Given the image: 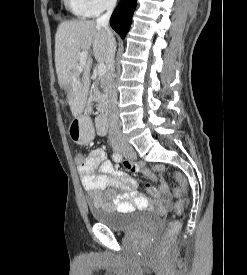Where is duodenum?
I'll return each mask as SVG.
<instances>
[{
	"label": "duodenum",
	"mask_w": 247,
	"mask_h": 275,
	"mask_svg": "<svg viewBox=\"0 0 247 275\" xmlns=\"http://www.w3.org/2000/svg\"><path fill=\"white\" fill-rule=\"evenodd\" d=\"M90 94L87 97V100H89ZM95 127L97 134L100 136H104L107 133V128H108V118L106 115H100L96 117L95 119Z\"/></svg>",
	"instance_id": "obj_1"
}]
</instances>
